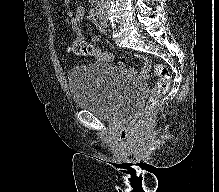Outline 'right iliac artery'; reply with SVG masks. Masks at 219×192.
Here are the masks:
<instances>
[{
	"label": "right iliac artery",
	"instance_id": "obj_1",
	"mask_svg": "<svg viewBox=\"0 0 219 192\" xmlns=\"http://www.w3.org/2000/svg\"><path fill=\"white\" fill-rule=\"evenodd\" d=\"M102 17H103V10L102 9L97 10L96 11V18L101 21Z\"/></svg>",
	"mask_w": 219,
	"mask_h": 192
}]
</instances>
